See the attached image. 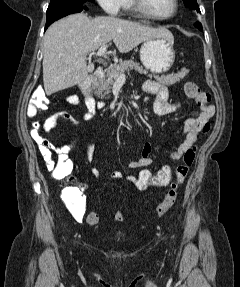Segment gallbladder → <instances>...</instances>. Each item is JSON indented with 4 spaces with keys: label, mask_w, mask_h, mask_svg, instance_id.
Here are the masks:
<instances>
[{
    "label": "gallbladder",
    "mask_w": 240,
    "mask_h": 287,
    "mask_svg": "<svg viewBox=\"0 0 240 287\" xmlns=\"http://www.w3.org/2000/svg\"><path fill=\"white\" fill-rule=\"evenodd\" d=\"M88 69H89V72H92L93 71V66H89Z\"/></svg>",
    "instance_id": "obj_1"
}]
</instances>
